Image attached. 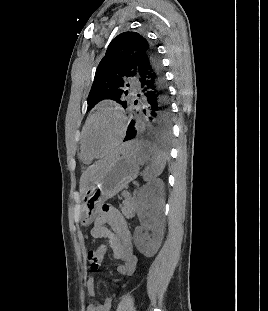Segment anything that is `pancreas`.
<instances>
[{
	"label": "pancreas",
	"instance_id": "obj_1",
	"mask_svg": "<svg viewBox=\"0 0 268 311\" xmlns=\"http://www.w3.org/2000/svg\"><path fill=\"white\" fill-rule=\"evenodd\" d=\"M123 196H124V200L122 204L120 205L121 211L127 218H132L135 213L136 201L129 194L123 195Z\"/></svg>",
	"mask_w": 268,
	"mask_h": 311
}]
</instances>
